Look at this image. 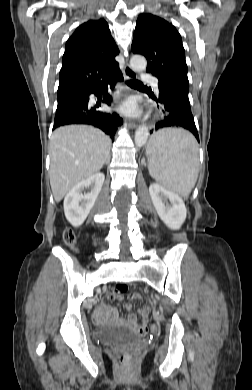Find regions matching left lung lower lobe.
<instances>
[{
  "instance_id": "1",
  "label": "left lung lower lobe",
  "mask_w": 252,
  "mask_h": 390,
  "mask_svg": "<svg viewBox=\"0 0 252 390\" xmlns=\"http://www.w3.org/2000/svg\"><path fill=\"white\" fill-rule=\"evenodd\" d=\"M158 88L160 91L159 98L153 97V99L163 105V112L166 113V116L164 120L156 124L155 130L164 127H183L191 131L199 142L188 98L189 91L166 82H160Z\"/></svg>"
}]
</instances>
